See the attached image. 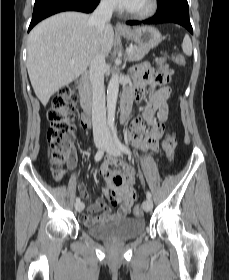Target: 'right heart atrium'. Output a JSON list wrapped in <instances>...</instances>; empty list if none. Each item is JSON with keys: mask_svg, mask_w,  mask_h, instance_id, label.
Segmentation results:
<instances>
[{"mask_svg": "<svg viewBox=\"0 0 229 280\" xmlns=\"http://www.w3.org/2000/svg\"><path fill=\"white\" fill-rule=\"evenodd\" d=\"M102 4L107 9H114L115 8V0H102Z\"/></svg>", "mask_w": 229, "mask_h": 280, "instance_id": "right-heart-atrium-1", "label": "right heart atrium"}]
</instances>
